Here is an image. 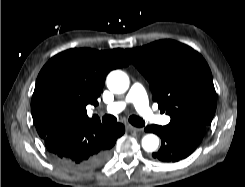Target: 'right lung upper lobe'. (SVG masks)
Masks as SVG:
<instances>
[{
    "mask_svg": "<svg viewBox=\"0 0 245 187\" xmlns=\"http://www.w3.org/2000/svg\"><path fill=\"white\" fill-rule=\"evenodd\" d=\"M129 63L120 48L69 49L52 57L38 75L31 100L39 136L45 138L60 128L99 121L87 116L86 105H98L108 72Z\"/></svg>",
    "mask_w": 245,
    "mask_h": 187,
    "instance_id": "1",
    "label": "right lung upper lobe"
}]
</instances>
